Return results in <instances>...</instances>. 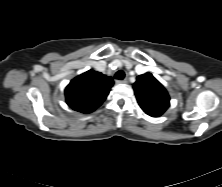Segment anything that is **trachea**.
I'll return each mask as SVG.
<instances>
[{
    "label": "trachea",
    "instance_id": "1",
    "mask_svg": "<svg viewBox=\"0 0 222 187\" xmlns=\"http://www.w3.org/2000/svg\"><path fill=\"white\" fill-rule=\"evenodd\" d=\"M125 77V73L123 70H119L118 72H116L115 74V79H118V80H123Z\"/></svg>",
    "mask_w": 222,
    "mask_h": 187
}]
</instances>
